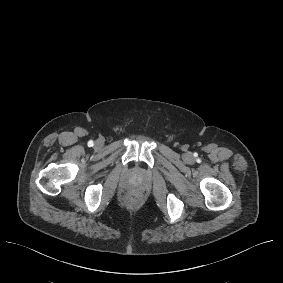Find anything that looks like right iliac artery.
I'll return each instance as SVG.
<instances>
[{
	"label": "right iliac artery",
	"mask_w": 283,
	"mask_h": 283,
	"mask_svg": "<svg viewBox=\"0 0 283 283\" xmlns=\"http://www.w3.org/2000/svg\"><path fill=\"white\" fill-rule=\"evenodd\" d=\"M88 146H89V147H92V146H93V141H92V140H90V141L88 142Z\"/></svg>",
	"instance_id": "right-iliac-artery-1"
}]
</instances>
